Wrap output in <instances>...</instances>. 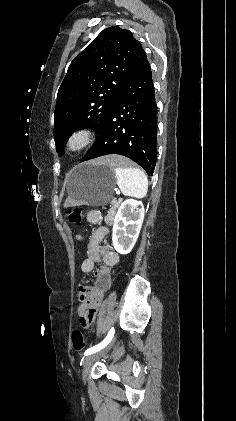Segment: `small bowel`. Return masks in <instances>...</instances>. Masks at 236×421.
<instances>
[{
    "label": "small bowel",
    "instance_id": "small-bowel-1",
    "mask_svg": "<svg viewBox=\"0 0 236 421\" xmlns=\"http://www.w3.org/2000/svg\"><path fill=\"white\" fill-rule=\"evenodd\" d=\"M87 220L89 223L98 225L101 222V213L98 211H90L87 215ZM107 234V229L104 227H100L97 229L95 235H94V242H96L98 239L103 238ZM94 245L92 246V249H94ZM88 291V289L84 286L80 287V297L81 299L84 297L85 293ZM79 316H83V309H78Z\"/></svg>",
    "mask_w": 236,
    "mask_h": 421
}]
</instances>
